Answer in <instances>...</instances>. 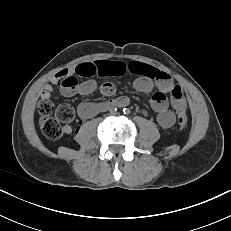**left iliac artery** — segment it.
<instances>
[{"mask_svg": "<svg viewBox=\"0 0 231 231\" xmlns=\"http://www.w3.org/2000/svg\"><path fill=\"white\" fill-rule=\"evenodd\" d=\"M123 113L128 115V114H130V110L128 108H124Z\"/></svg>", "mask_w": 231, "mask_h": 231, "instance_id": "obj_1", "label": "left iliac artery"}]
</instances>
